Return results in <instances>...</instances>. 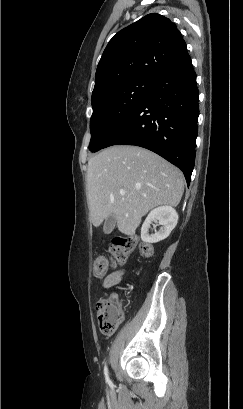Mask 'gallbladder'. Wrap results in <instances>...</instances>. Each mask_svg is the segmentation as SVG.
I'll list each match as a JSON object with an SVG mask.
<instances>
[{
  "label": "gallbladder",
  "instance_id": "obj_1",
  "mask_svg": "<svg viewBox=\"0 0 243 409\" xmlns=\"http://www.w3.org/2000/svg\"><path fill=\"white\" fill-rule=\"evenodd\" d=\"M115 224H116L115 216H109L108 218H106L103 228L104 233L110 234L113 231Z\"/></svg>",
  "mask_w": 243,
  "mask_h": 409
}]
</instances>
